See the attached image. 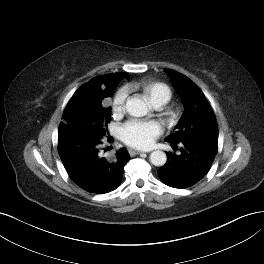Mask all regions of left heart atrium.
Masks as SVG:
<instances>
[{"label":"left heart atrium","instance_id":"obj_1","mask_svg":"<svg viewBox=\"0 0 264 264\" xmlns=\"http://www.w3.org/2000/svg\"><path fill=\"white\" fill-rule=\"evenodd\" d=\"M161 128L154 121L131 120L120 129L121 139L136 148H149L160 135Z\"/></svg>","mask_w":264,"mask_h":264}]
</instances>
